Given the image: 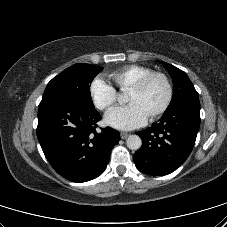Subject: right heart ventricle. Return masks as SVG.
<instances>
[{
  "instance_id": "right-heart-ventricle-1",
  "label": "right heart ventricle",
  "mask_w": 227,
  "mask_h": 227,
  "mask_svg": "<svg viewBox=\"0 0 227 227\" xmlns=\"http://www.w3.org/2000/svg\"><path fill=\"white\" fill-rule=\"evenodd\" d=\"M151 72H153V69L147 66L128 65L113 71L110 78L119 90L126 91L139 79Z\"/></svg>"
}]
</instances>
